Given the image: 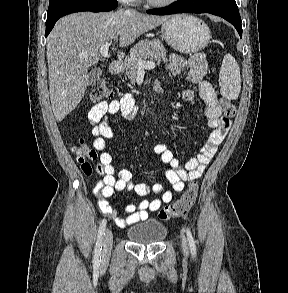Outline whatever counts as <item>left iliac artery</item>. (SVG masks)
<instances>
[{
    "label": "left iliac artery",
    "mask_w": 288,
    "mask_h": 293,
    "mask_svg": "<svg viewBox=\"0 0 288 293\" xmlns=\"http://www.w3.org/2000/svg\"><path fill=\"white\" fill-rule=\"evenodd\" d=\"M186 232H187V238H188L191 253L193 255H196V245H195V241H194V238L192 236V233H191L189 228H187Z\"/></svg>",
    "instance_id": "44dca946"
}]
</instances>
